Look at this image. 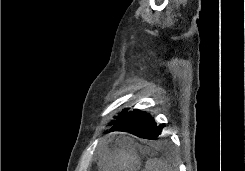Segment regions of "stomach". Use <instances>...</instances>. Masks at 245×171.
I'll list each match as a JSON object with an SVG mask.
<instances>
[{"label": "stomach", "mask_w": 245, "mask_h": 171, "mask_svg": "<svg viewBox=\"0 0 245 171\" xmlns=\"http://www.w3.org/2000/svg\"><path fill=\"white\" fill-rule=\"evenodd\" d=\"M109 143L99 155V171H137L140 168L139 152L143 148L134 139L119 136Z\"/></svg>", "instance_id": "1"}]
</instances>
